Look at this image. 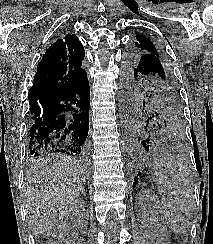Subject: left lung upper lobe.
<instances>
[{"mask_svg":"<svg viewBox=\"0 0 213 244\" xmlns=\"http://www.w3.org/2000/svg\"><path fill=\"white\" fill-rule=\"evenodd\" d=\"M122 72L124 107L156 124L165 138L180 137L184 117L178 85L169 61L149 38L136 35Z\"/></svg>","mask_w":213,"mask_h":244,"instance_id":"left-lung-upper-lobe-1","label":"left lung upper lobe"}]
</instances>
